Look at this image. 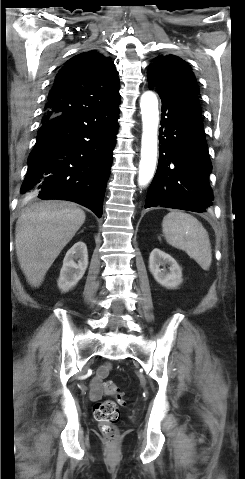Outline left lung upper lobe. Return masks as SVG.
Segmentation results:
<instances>
[{
	"label": "left lung upper lobe",
	"instance_id": "5c2ea615",
	"mask_svg": "<svg viewBox=\"0 0 245 479\" xmlns=\"http://www.w3.org/2000/svg\"><path fill=\"white\" fill-rule=\"evenodd\" d=\"M149 85L161 95H176L187 91L199 94L190 66L175 55H161L153 60L148 71Z\"/></svg>",
	"mask_w": 245,
	"mask_h": 479
}]
</instances>
